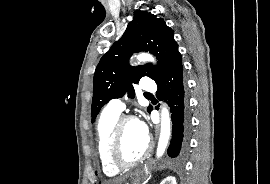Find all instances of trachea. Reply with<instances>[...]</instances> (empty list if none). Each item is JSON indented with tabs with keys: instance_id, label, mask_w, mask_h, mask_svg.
<instances>
[{
	"instance_id": "1",
	"label": "trachea",
	"mask_w": 270,
	"mask_h": 184,
	"mask_svg": "<svg viewBox=\"0 0 270 184\" xmlns=\"http://www.w3.org/2000/svg\"><path fill=\"white\" fill-rule=\"evenodd\" d=\"M145 96H150V94H145Z\"/></svg>"
}]
</instances>
